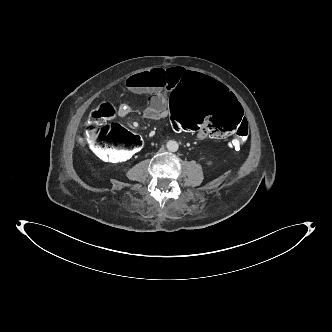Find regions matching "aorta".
I'll list each match as a JSON object with an SVG mask.
<instances>
[{
  "label": "aorta",
  "mask_w": 332,
  "mask_h": 332,
  "mask_svg": "<svg viewBox=\"0 0 332 332\" xmlns=\"http://www.w3.org/2000/svg\"><path fill=\"white\" fill-rule=\"evenodd\" d=\"M166 147L171 152H176L178 150V143L174 140H169L166 144Z\"/></svg>",
  "instance_id": "762f6f07"
}]
</instances>
